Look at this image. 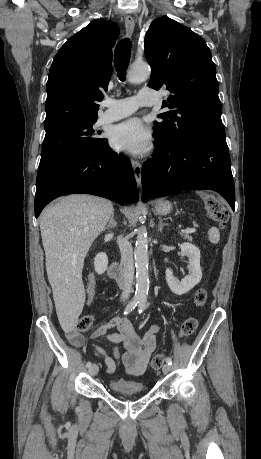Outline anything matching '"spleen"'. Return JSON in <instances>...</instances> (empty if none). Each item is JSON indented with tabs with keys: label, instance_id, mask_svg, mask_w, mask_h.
Wrapping results in <instances>:
<instances>
[{
	"label": "spleen",
	"instance_id": "3e777b00",
	"mask_svg": "<svg viewBox=\"0 0 261 459\" xmlns=\"http://www.w3.org/2000/svg\"><path fill=\"white\" fill-rule=\"evenodd\" d=\"M209 240L212 243H218L220 240V233L216 227H211L208 230Z\"/></svg>",
	"mask_w": 261,
	"mask_h": 459
}]
</instances>
